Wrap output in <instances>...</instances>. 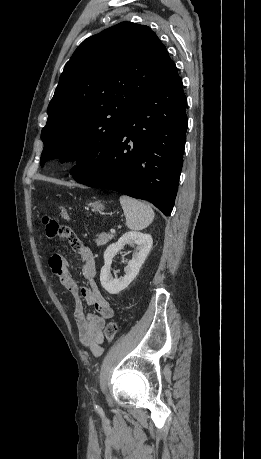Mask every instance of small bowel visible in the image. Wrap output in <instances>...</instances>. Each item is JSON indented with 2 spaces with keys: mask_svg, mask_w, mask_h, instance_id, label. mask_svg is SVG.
Returning <instances> with one entry per match:
<instances>
[{
  "mask_svg": "<svg viewBox=\"0 0 261 459\" xmlns=\"http://www.w3.org/2000/svg\"><path fill=\"white\" fill-rule=\"evenodd\" d=\"M46 237L68 240L80 256L81 271L88 286H79L72 271L73 264L60 253H53L49 258V268L58 277L61 285L69 291L74 300V319L77 324L81 344L94 357L103 353L105 322L113 317V309L103 297L94 282L96 263L93 252L86 247L80 238L67 226L58 225L50 228L46 225ZM85 305L92 307L93 312H86Z\"/></svg>",
  "mask_w": 261,
  "mask_h": 459,
  "instance_id": "obj_1",
  "label": "small bowel"
}]
</instances>
